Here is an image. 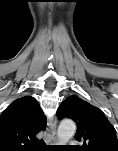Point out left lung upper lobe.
<instances>
[{
  "label": "left lung upper lobe",
  "mask_w": 118,
  "mask_h": 151,
  "mask_svg": "<svg viewBox=\"0 0 118 151\" xmlns=\"http://www.w3.org/2000/svg\"><path fill=\"white\" fill-rule=\"evenodd\" d=\"M59 119L71 118L77 124L76 139L83 142L80 151H118L115 128L97 107L72 95L59 106Z\"/></svg>",
  "instance_id": "1"
}]
</instances>
